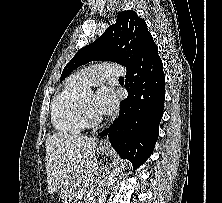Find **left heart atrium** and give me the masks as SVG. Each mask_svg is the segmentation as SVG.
Segmentation results:
<instances>
[{
  "label": "left heart atrium",
  "instance_id": "39dd6f15",
  "mask_svg": "<svg viewBox=\"0 0 222 203\" xmlns=\"http://www.w3.org/2000/svg\"><path fill=\"white\" fill-rule=\"evenodd\" d=\"M117 107V98L113 90L100 89L95 96V109L101 116L112 114Z\"/></svg>",
  "mask_w": 222,
  "mask_h": 203
}]
</instances>
